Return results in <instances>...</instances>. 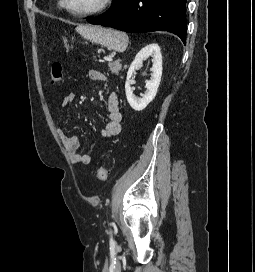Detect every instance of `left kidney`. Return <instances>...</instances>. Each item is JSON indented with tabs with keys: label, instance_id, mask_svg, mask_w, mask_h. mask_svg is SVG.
<instances>
[{
	"label": "left kidney",
	"instance_id": "left-kidney-1",
	"mask_svg": "<svg viewBox=\"0 0 255 272\" xmlns=\"http://www.w3.org/2000/svg\"><path fill=\"white\" fill-rule=\"evenodd\" d=\"M148 57L152 58L153 62L151 68L152 73L150 80L146 82L147 91L145 92L142 98H138L133 94V89L131 87L133 80H131V77L135 72V69L141 67L143 64V60H145ZM161 76H162V55L160 47L155 43L149 44L137 53L135 59L131 63L127 72L125 92L128 103L134 110L136 111L143 110L155 98L161 81Z\"/></svg>",
	"mask_w": 255,
	"mask_h": 272
}]
</instances>
